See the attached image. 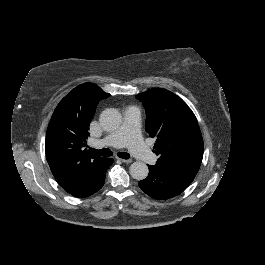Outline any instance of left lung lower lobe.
I'll return each instance as SVG.
<instances>
[{"instance_id": "1", "label": "left lung lower lobe", "mask_w": 265, "mask_h": 265, "mask_svg": "<svg viewBox=\"0 0 265 265\" xmlns=\"http://www.w3.org/2000/svg\"><path fill=\"white\" fill-rule=\"evenodd\" d=\"M148 167L149 175L139 182V187L152 198L159 200H166L180 194L196 176V173L193 172L170 170L150 165Z\"/></svg>"}]
</instances>
